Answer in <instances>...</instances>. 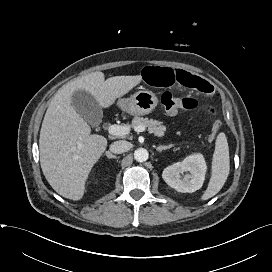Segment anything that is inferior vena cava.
<instances>
[{"instance_id":"inferior-vena-cava-1","label":"inferior vena cava","mask_w":272,"mask_h":272,"mask_svg":"<svg viewBox=\"0 0 272 272\" xmlns=\"http://www.w3.org/2000/svg\"><path fill=\"white\" fill-rule=\"evenodd\" d=\"M132 147V144L125 140L115 141L110 145V151L112 153L121 154L127 152Z\"/></svg>"}]
</instances>
